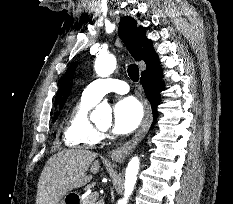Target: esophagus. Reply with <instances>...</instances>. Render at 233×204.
<instances>
[{
    "label": "esophagus",
    "mask_w": 233,
    "mask_h": 204,
    "mask_svg": "<svg viewBox=\"0 0 233 204\" xmlns=\"http://www.w3.org/2000/svg\"><path fill=\"white\" fill-rule=\"evenodd\" d=\"M151 122L152 112L150 106L147 104L145 107L144 118L136 134L129 141L112 150V152L110 153L111 159L115 161H121L125 159L129 152L133 150L137 146V144L144 138L146 132L151 125Z\"/></svg>",
    "instance_id": "obj_1"
}]
</instances>
